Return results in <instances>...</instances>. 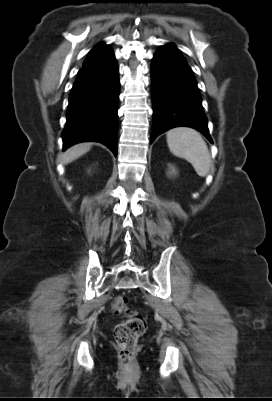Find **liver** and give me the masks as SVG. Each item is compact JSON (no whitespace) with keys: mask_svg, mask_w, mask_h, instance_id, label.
I'll list each match as a JSON object with an SVG mask.
<instances>
[{"mask_svg":"<svg viewBox=\"0 0 272 401\" xmlns=\"http://www.w3.org/2000/svg\"><path fill=\"white\" fill-rule=\"evenodd\" d=\"M91 143H80L67 149L62 157V162L68 164L87 153L91 148Z\"/></svg>","mask_w":272,"mask_h":401,"instance_id":"obj_1","label":"liver"}]
</instances>
